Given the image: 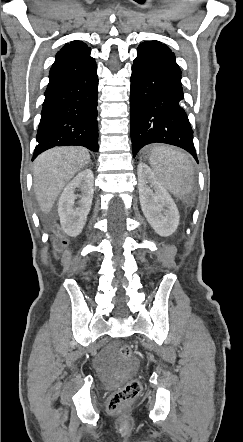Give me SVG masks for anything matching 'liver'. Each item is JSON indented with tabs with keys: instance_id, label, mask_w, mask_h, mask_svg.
I'll use <instances>...</instances> for the list:
<instances>
[{
	"instance_id": "obj_1",
	"label": "liver",
	"mask_w": 243,
	"mask_h": 442,
	"mask_svg": "<svg viewBox=\"0 0 243 442\" xmlns=\"http://www.w3.org/2000/svg\"><path fill=\"white\" fill-rule=\"evenodd\" d=\"M90 162L83 147H56L34 162V192L41 211L48 214L65 185Z\"/></svg>"
}]
</instances>
